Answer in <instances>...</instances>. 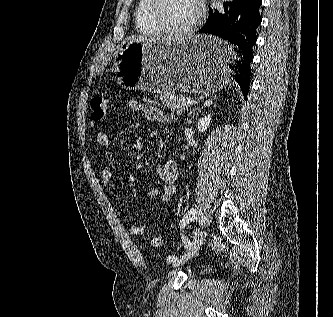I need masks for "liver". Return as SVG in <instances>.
Wrapping results in <instances>:
<instances>
[{"label":"liver","instance_id":"liver-1","mask_svg":"<svg viewBox=\"0 0 333 317\" xmlns=\"http://www.w3.org/2000/svg\"><path fill=\"white\" fill-rule=\"evenodd\" d=\"M187 37H173V36H164V37H151V36H146V35H134L126 40L123 41L125 42H146V41H159V42H173V41H183Z\"/></svg>","mask_w":333,"mask_h":317}]
</instances>
